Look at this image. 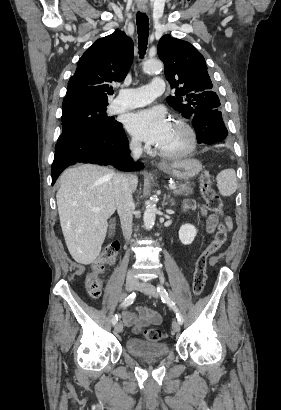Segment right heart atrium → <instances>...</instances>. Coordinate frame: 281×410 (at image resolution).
I'll return each instance as SVG.
<instances>
[{
  "mask_svg": "<svg viewBox=\"0 0 281 410\" xmlns=\"http://www.w3.org/2000/svg\"><path fill=\"white\" fill-rule=\"evenodd\" d=\"M130 147L131 149H133L134 151H140L142 150V144L141 142L137 139V138H132L130 140Z\"/></svg>",
  "mask_w": 281,
  "mask_h": 410,
  "instance_id": "right-heart-atrium-1",
  "label": "right heart atrium"
}]
</instances>
